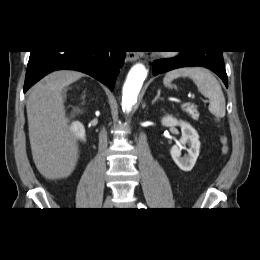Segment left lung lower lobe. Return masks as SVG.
Returning a JSON list of instances; mask_svg holds the SVG:
<instances>
[{
	"instance_id": "0a47b994",
	"label": "left lung lower lobe",
	"mask_w": 260,
	"mask_h": 260,
	"mask_svg": "<svg viewBox=\"0 0 260 260\" xmlns=\"http://www.w3.org/2000/svg\"><path fill=\"white\" fill-rule=\"evenodd\" d=\"M205 67L216 73L228 87L227 74L220 50L187 51L170 59H161L153 63V74L156 76L181 67Z\"/></svg>"
}]
</instances>
